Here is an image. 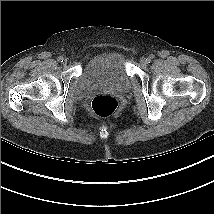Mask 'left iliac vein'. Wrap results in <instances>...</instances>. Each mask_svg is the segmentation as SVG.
Masks as SVG:
<instances>
[{
    "label": "left iliac vein",
    "mask_w": 214,
    "mask_h": 214,
    "mask_svg": "<svg viewBox=\"0 0 214 214\" xmlns=\"http://www.w3.org/2000/svg\"><path fill=\"white\" fill-rule=\"evenodd\" d=\"M148 62H149L148 58H145V57H142L141 60H140V63L142 65H146V64H148Z\"/></svg>",
    "instance_id": "left-iliac-vein-1"
}]
</instances>
